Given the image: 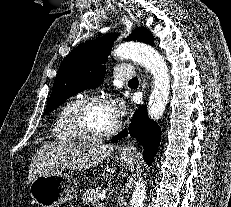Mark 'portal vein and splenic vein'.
Wrapping results in <instances>:
<instances>
[{
  "mask_svg": "<svg viewBox=\"0 0 231 207\" xmlns=\"http://www.w3.org/2000/svg\"><path fill=\"white\" fill-rule=\"evenodd\" d=\"M96 207H104V204H103V203H98V204L96 205Z\"/></svg>",
  "mask_w": 231,
  "mask_h": 207,
  "instance_id": "1",
  "label": "portal vein and splenic vein"
}]
</instances>
